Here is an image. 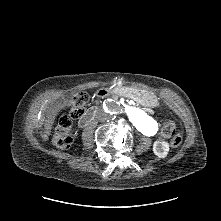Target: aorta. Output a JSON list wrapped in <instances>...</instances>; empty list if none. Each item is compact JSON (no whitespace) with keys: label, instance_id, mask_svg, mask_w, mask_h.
Masks as SVG:
<instances>
[{"label":"aorta","instance_id":"obj_1","mask_svg":"<svg viewBox=\"0 0 221 221\" xmlns=\"http://www.w3.org/2000/svg\"><path fill=\"white\" fill-rule=\"evenodd\" d=\"M123 111L126 113L133 125L143 134L151 136L156 133V122L149 118V116L141 109L126 105L124 106Z\"/></svg>","mask_w":221,"mask_h":221}]
</instances>
